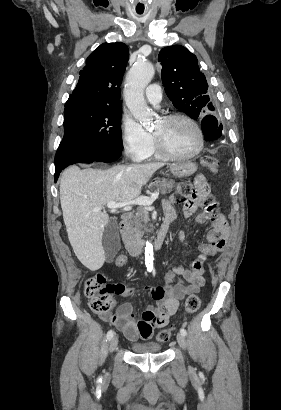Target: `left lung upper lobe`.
I'll return each instance as SVG.
<instances>
[{"label": "left lung upper lobe", "mask_w": 281, "mask_h": 410, "mask_svg": "<svg viewBox=\"0 0 281 410\" xmlns=\"http://www.w3.org/2000/svg\"><path fill=\"white\" fill-rule=\"evenodd\" d=\"M158 60L162 64L161 76L167 96L177 109L193 119L202 117L207 109L214 110L207 95L206 78L194 54L183 46L174 45L163 48Z\"/></svg>", "instance_id": "obj_1"}]
</instances>
